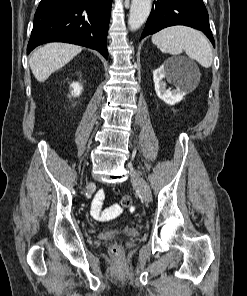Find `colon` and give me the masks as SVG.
<instances>
[{
  "label": "colon",
  "mask_w": 247,
  "mask_h": 296,
  "mask_svg": "<svg viewBox=\"0 0 247 296\" xmlns=\"http://www.w3.org/2000/svg\"><path fill=\"white\" fill-rule=\"evenodd\" d=\"M132 197L130 195H125L121 198V201H120V206H114L111 208V212L109 213H106L104 215H101L102 218L104 219H108V218H111L115 215H117L119 212H120V208H127V207H130L131 204H132ZM111 253L113 255H119L120 254V251H121V248H120V244L119 242H115L112 246H111V249H110Z\"/></svg>",
  "instance_id": "5ec220e1"
}]
</instances>
